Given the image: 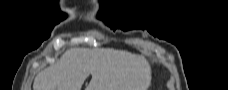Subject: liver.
Segmentation results:
<instances>
[{"instance_id":"1","label":"liver","mask_w":228,"mask_h":90,"mask_svg":"<svg viewBox=\"0 0 228 90\" xmlns=\"http://www.w3.org/2000/svg\"><path fill=\"white\" fill-rule=\"evenodd\" d=\"M90 74L86 90H147L151 81V69L143 56L110 48L74 47L41 71L33 86L34 90H81Z\"/></svg>"}]
</instances>
